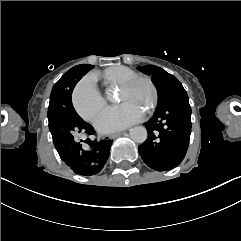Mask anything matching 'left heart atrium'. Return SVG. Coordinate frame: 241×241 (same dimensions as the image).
I'll return each instance as SVG.
<instances>
[{
    "label": "left heart atrium",
    "mask_w": 241,
    "mask_h": 241,
    "mask_svg": "<svg viewBox=\"0 0 241 241\" xmlns=\"http://www.w3.org/2000/svg\"><path fill=\"white\" fill-rule=\"evenodd\" d=\"M143 115L137 110L125 107L109 108L103 111L94 121L96 128L105 134L118 132L141 121Z\"/></svg>",
    "instance_id": "obj_1"
}]
</instances>
